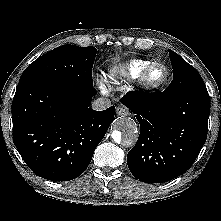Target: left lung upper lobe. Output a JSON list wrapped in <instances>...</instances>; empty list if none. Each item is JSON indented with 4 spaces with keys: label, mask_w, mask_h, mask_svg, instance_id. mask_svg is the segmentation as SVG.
<instances>
[{
    "label": "left lung upper lobe",
    "mask_w": 221,
    "mask_h": 221,
    "mask_svg": "<svg viewBox=\"0 0 221 221\" xmlns=\"http://www.w3.org/2000/svg\"><path fill=\"white\" fill-rule=\"evenodd\" d=\"M169 55L173 67V81L164 92L175 96L186 91L206 89L202 77L193 66L172 50H169Z\"/></svg>",
    "instance_id": "left-lung-upper-lobe-1"
}]
</instances>
